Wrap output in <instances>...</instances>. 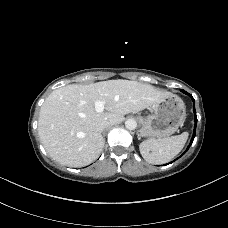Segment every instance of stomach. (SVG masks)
<instances>
[{
	"mask_svg": "<svg viewBox=\"0 0 228 228\" xmlns=\"http://www.w3.org/2000/svg\"><path fill=\"white\" fill-rule=\"evenodd\" d=\"M154 111L144 118L141 134L148 138H166L178 131L185 119V106L181 98L169 94L158 103L151 106Z\"/></svg>",
	"mask_w": 228,
	"mask_h": 228,
	"instance_id": "stomach-1",
	"label": "stomach"
}]
</instances>
